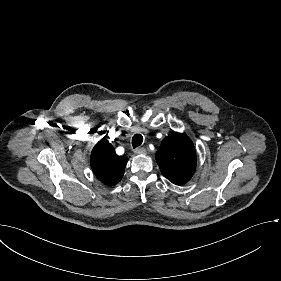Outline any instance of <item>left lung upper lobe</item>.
<instances>
[{
	"label": "left lung upper lobe",
	"mask_w": 281,
	"mask_h": 281,
	"mask_svg": "<svg viewBox=\"0 0 281 281\" xmlns=\"http://www.w3.org/2000/svg\"><path fill=\"white\" fill-rule=\"evenodd\" d=\"M156 161L169 181L183 185L191 179L196 169L194 145L185 134H171L163 140L156 153Z\"/></svg>",
	"instance_id": "left-lung-upper-lobe-1"
}]
</instances>
